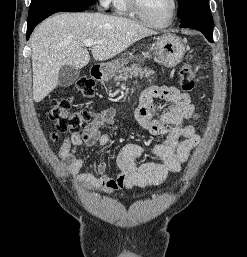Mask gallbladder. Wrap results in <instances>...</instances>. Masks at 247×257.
<instances>
[{
    "mask_svg": "<svg viewBox=\"0 0 247 257\" xmlns=\"http://www.w3.org/2000/svg\"><path fill=\"white\" fill-rule=\"evenodd\" d=\"M80 70L71 65H63L58 73V84L61 87H68L79 78Z\"/></svg>",
    "mask_w": 247,
    "mask_h": 257,
    "instance_id": "gallbladder-1",
    "label": "gallbladder"
}]
</instances>
